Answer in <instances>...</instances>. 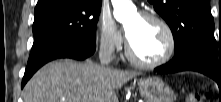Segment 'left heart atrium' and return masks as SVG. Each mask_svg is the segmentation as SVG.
Segmentation results:
<instances>
[{"label": "left heart atrium", "mask_w": 221, "mask_h": 102, "mask_svg": "<svg viewBox=\"0 0 221 102\" xmlns=\"http://www.w3.org/2000/svg\"><path fill=\"white\" fill-rule=\"evenodd\" d=\"M127 35H128V38H129V36H130V33L127 31Z\"/></svg>", "instance_id": "left-heart-atrium-1"}]
</instances>
